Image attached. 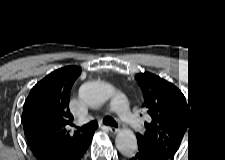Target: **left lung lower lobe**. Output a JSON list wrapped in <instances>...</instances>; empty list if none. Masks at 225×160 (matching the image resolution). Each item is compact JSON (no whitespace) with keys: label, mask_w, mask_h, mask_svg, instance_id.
I'll use <instances>...</instances> for the list:
<instances>
[{"label":"left lung lower lobe","mask_w":225,"mask_h":160,"mask_svg":"<svg viewBox=\"0 0 225 160\" xmlns=\"http://www.w3.org/2000/svg\"><path fill=\"white\" fill-rule=\"evenodd\" d=\"M139 149V148H138ZM130 160H167L163 157L146 150L139 149L136 155H133Z\"/></svg>","instance_id":"1"}]
</instances>
